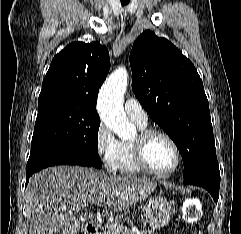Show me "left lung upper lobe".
<instances>
[{
  "label": "left lung upper lobe",
  "mask_w": 241,
  "mask_h": 234,
  "mask_svg": "<svg viewBox=\"0 0 241 234\" xmlns=\"http://www.w3.org/2000/svg\"><path fill=\"white\" fill-rule=\"evenodd\" d=\"M132 90L151 118L177 145L183 177L220 180L209 103L194 65L151 31L130 53Z\"/></svg>",
  "instance_id": "1"
}]
</instances>
